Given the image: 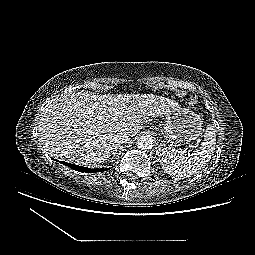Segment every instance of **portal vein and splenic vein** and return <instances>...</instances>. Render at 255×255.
<instances>
[{"mask_svg":"<svg viewBox=\"0 0 255 255\" xmlns=\"http://www.w3.org/2000/svg\"><path fill=\"white\" fill-rule=\"evenodd\" d=\"M114 112H115V114H114V120H117V118L119 117V112H118L117 109H114Z\"/></svg>","mask_w":255,"mask_h":255,"instance_id":"18ae733b","label":"portal vein and splenic vein"}]
</instances>
